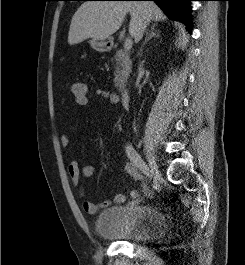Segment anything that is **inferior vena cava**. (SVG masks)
Instances as JSON below:
<instances>
[{"label":"inferior vena cava","instance_id":"602c4592","mask_svg":"<svg viewBox=\"0 0 245 265\" xmlns=\"http://www.w3.org/2000/svg\"><path fill=\"white\" fill-rule=\"evenodd\" d=\"M149 22H150V18L149 17H146L145 18V22H144V26L142 28V32L145 31V29H146L147 25L149 24Z\"/></svg>","mask_w":245,"mask_h":265}]
</instances>
